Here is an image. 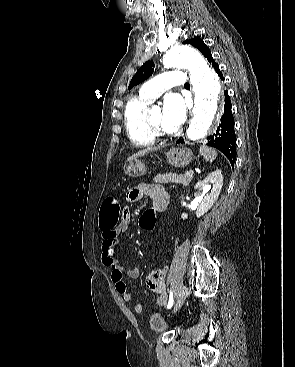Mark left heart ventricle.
<instances>
[{
  "label": "left heart ventricle",
  "instance_id": "obj_1",
  "mask_svg": "<svg viewBox=\"0 0 295 367\" xmlns=\"http://www.w3.org/2000/svg\"><path fill=\"white\" fill-rule=\"evenodd\" d=\"M150 119L155 125H157V126H159L163 129V126H162V112L160 110L152 112L150 114Z\"/></svg>",
  "mask_w": 295,
  "mask_h": 367
}]
</instances>
